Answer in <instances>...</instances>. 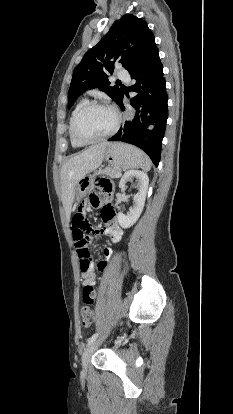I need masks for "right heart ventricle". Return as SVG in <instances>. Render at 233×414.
<instances>
[{"instance_id": "right-heart-ventricle-1", "label": "right heart ventricle", "mask_w": 233, "mask_h": 414, "mask_svg": "<svg viewBox=\"0 0 233 414\" xmlns=\"http://www.w3.org/2000/svg\"><path fill=\"white\" fill-rule=\"evenodd\" d=\"M88 102V100L86 98H82L74 107L73 111L71 112L70 118H69V122H68V133H69V138H70V142L71 145L75 148H79L84 146L83 144H79L77 142H75L71 136V124H72V120L75 116V114L79 111V109L85 105Z\"/></svg>"}]
</instances>
